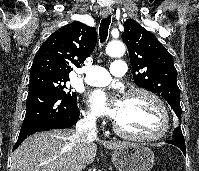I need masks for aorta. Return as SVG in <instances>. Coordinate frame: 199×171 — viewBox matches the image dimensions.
Masks as SVG:
<instances>
[{
    "label": "aorta",
    "mask_w": 199,
    "mask_h": 171,
    "mask_svg": "<svg viewBox=\"0 0 199 171\" xmlns=\"http://www.w3.org/2000/svg\"><path fill=\"white\" fill-rule=\"evenodd\" d=\"M106 53L111 57H120L125 53V46L120 41H112L107 45Z\"/></svg>",
    "instance_id": "aorta-1"
}]
</instances>
